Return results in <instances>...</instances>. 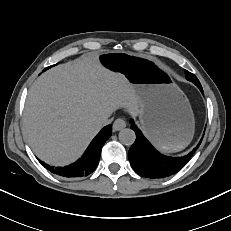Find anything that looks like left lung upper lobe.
Here are the masks:
<instances>
[{
    "mask_svg": "<svg viewBox=\"0 0 231 231\" xmlns=\"http://www.w3.org/2000/svg\"><path fill=\"white\" fill-rule=\"evenodd\" d=\"M185 74H186L187 80L193 82L198 88L201 87L199 80L197 79V77L194 74L190 73L187 70H185Z\"/></svg>",
    "mask_w": 231,
    "mask_h": 231,
    "instance_id": "left-lung-upper-lobe-1",
    "label": "left lung upper lobe"
}]
</instances>
